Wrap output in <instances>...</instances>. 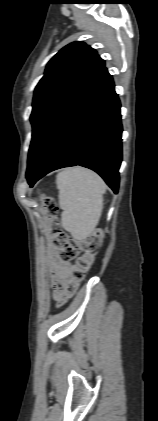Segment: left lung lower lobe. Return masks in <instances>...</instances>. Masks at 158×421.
Returning <instances> with one entry per match:
<instances>
[{
	"label": "left lung lower lobe",
	"mask_w": 158,
	"mask_h": 421,
	"mask_svg": "<svg viewBox=\"0 0 158 421\" xmlns=\"http://www.w3.org/2000/svg\"><path fill=\"white\" fill-rule=\"evenodd\" d=\"M120 101L111 75L98 70L66 103L28 163L30 186L45 174L80 165L97 172L117 193L122 160Z\"/></svg>",
	"instance_id": "obj_1"
}]
</instances>
